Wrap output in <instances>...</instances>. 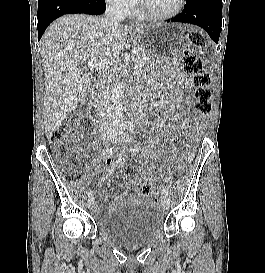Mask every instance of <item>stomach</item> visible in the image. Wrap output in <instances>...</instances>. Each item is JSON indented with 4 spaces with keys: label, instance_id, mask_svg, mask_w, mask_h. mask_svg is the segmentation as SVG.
I'll return each mask as SVG.
<instances>
[{
    "label": "stomach",
    "instance_id": "0dacf381",
    "mask_svg": "<svg viewBox=\"0 0 265 273\" xmlns=\"http://www.w3.org/2000/svg\"><path fill=\"white\" fill-rule=\"evenodd\" d=\"M193 29V25H154L135 29L132 34L138 44H130V49L145 50L137 55L139 64H174L175 51L164 49H177L178 40H183L186 30Z\"/></svg>",
    "mask_w": 265,
    "mask_h": 273
}]
</instances>
